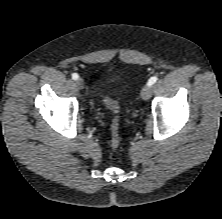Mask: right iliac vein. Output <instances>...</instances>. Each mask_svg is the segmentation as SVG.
<instances>
[{"label":"right iliac vein","instance_id":"63e3f726","mask_svg":"<svg viewBox=\"0 0 222 219\" xmlns=\"http://www.w3.org/2000/svg\"><path fill=\"white\" fill-rule=\"evenodd\" d=\"M76 85H77V87H78L79 89H83L84 86H85L84 80L81 79V78L77 79V80H76Z\"/></svg>","mask_w":222,"mask_h":219}]
</instances>
